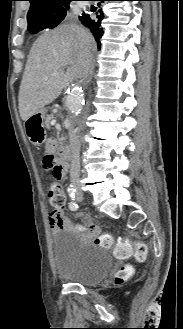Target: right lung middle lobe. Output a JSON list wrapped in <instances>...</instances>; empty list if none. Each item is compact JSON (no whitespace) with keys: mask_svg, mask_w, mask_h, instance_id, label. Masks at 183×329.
I'll list each match as a JSON object with an SVG mask.
<instances>
[{"mask_svg":"<svg viewBox=\"0 0 183 329\" xmlns=\"http://www.w3.org/2000/svg\"><path fill=\"white\" fill-rule=\"evenodd\" d=\"M67 9H69V3L59 8L58 14L54 19L47 22H33L31 25H28V30L34 34L45 28L56 27L64 19Z\"/></svg>","mask_w":183,"mask_h":329,"instance_id":"obj_1","label":"right lung middle lobe"}]
</instances>
